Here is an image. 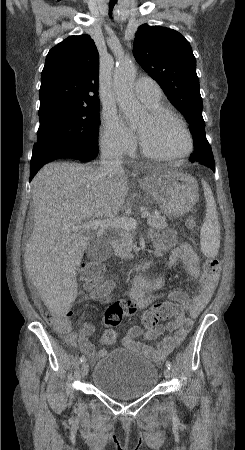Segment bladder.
Returning <instances> with one entry per match:
<instances>
[{"label": "bladder", "instance_id": "1", "mask_svg": "<svg viewBox=\"0 0 245 450\" xmlns=\"http://www.w3.org/2000/svg\"><path fill=\"white\" fill-rule=\"evenodd\" d=\"M158 379V368L142 353L117 347L94 362L90 383L108 397L128 400L150 392Z\"/></svg>", "mask_w": 245, "mask_h": 450}]
</instances>
